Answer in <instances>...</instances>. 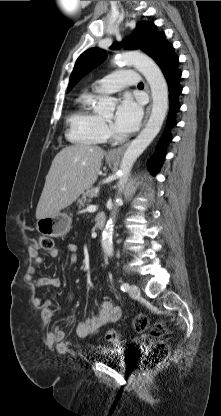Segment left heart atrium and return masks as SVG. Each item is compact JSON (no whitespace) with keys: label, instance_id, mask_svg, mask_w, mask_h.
I'll list each match as a JSON object with an SVG mask.
<instances>
[{"label":"left heart atrium","instance_id":"left-heart-atrium-1","mask_svg":"<svg viewBox=\"0 0 221 416\" xmlns=\"http://www.w3.org/2000/svg\"><path fill=\"white\" fill-rule=\"evenodd\" d=\"M142 117V108L131 97H124L114 116V130L119 134H129L135 131Z\"/></svg>","mask_w":221,"mask_h":416}]
</instances>
